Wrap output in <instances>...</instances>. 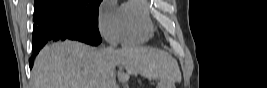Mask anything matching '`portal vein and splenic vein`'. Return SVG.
<instances>
[{
    "label": "portal vein and splenic vein",
    "instance_id": "portal-vein-and-splenic-vein-1",
    "mask_svg": "<svg viewBox=\"0 0 267 88\" xmlns=\"http://www.w3.org/2000/svg\"><path fill=\"white\" fill-rule=\"evenodd\" d=\"M113 88H119V86H118V85H116V84H114V85H113Z\"/></svg>",
    "mask_w": 267,
    "mask_h": 88
}]
</instances>
